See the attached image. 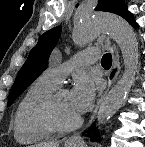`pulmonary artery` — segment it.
<instances>
[{
  "label": "pulmonary artery",
  "instance_id": "obj_1",
  "mask_svg": "<svg viewBox=\"0 0 145 147\" xmlns=\"http://www.w3.org/2000/svg\"><path fill=\"white\" fill-rule=\"evenodd\" d=\"M98 58L99 50L91 48L76 54L73 59L66 63L51 66L43 74L55 83L60 84L68 72L79 66L93 64Z\"/></svg>",
  "mask_w": 145,
  "mask_h": 147
}]
</instances>
